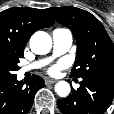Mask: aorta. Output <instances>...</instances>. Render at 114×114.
Returning a JSON list of instances; mask_svg holds the SVG:
<instances>
[{"label":"aorta","mask_w":114,"mask_h":114,"mask_svg":"<svg viewBox=\"0 0 114 114\" xmlns=\"http://www.w3.org/2000/svg\"><path fill=\"white\" fill-rule=\"evenodd\" d=\"M30 47L35 54H47L52 48V39L48 33L44 31H37L30 38ZM70 91V85L66 81H59L55 85V92L60 97H67Z\"/></svg>","instance_id":"obj_1"}]
</instances>
